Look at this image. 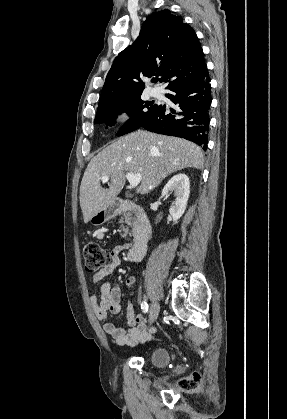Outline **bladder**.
<instances>
[{
	"mask_svg": "<svg viewBox=\"0 0 287 419\" xmlns=\"http://www.w3.org/2000/svg\"><path fill=\"white\" fill-rule=\"evenodd\" d=\"M149 360L159 366H164L170 361V355L167 349L158 347L151 351Z\"/></svg>",
	"mask_w": 287,
	"mask_h": 419,
	"instance_id": "1",
	"label": "bladder"
}]
</instances>
